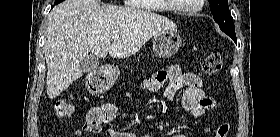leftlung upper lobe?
<instances>
[{"instance_id":"1","label":"left lung upper lobe","mask_w":280,"mask_h":137,"mask_svg":"<svg viewBox=\"0 0 280 137\" xmlns=\"http://www.w3.org/2000/svg\"><path fill=\"white\" fill-rule=\"evenodd\" d=\"M209 3L214 21L224 33L237 42L233 18L228 7V0H209Z\"/></svg>"}]
</instances>
